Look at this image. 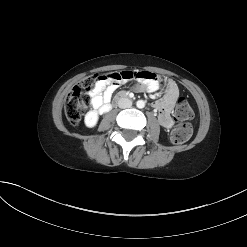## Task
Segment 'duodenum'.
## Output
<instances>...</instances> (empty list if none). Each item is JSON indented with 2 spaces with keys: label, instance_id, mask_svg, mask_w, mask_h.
Listing matches in <instances>:
<instances>
[{
  "label": "duodenum",
  "instance_id": "obj_1",
  "mask_svg": "<svg viewBox=\"0 0 247 247\" xmlns=\"http://www.w3.org/2000/svg\"><path fill=\"white\" fill-rule=\"evenodd\" d=\"M128 95V92L126 90H121L120 93H116L115 94V97H114V100H113V103H111V106L113 108H116L118 107V102H119V98H126ZM109 111V110H108ZM107 111V112H108Z\"/></svg>",
  "mask_w": 247,
  "mask_h": 247
}]
</instances>
